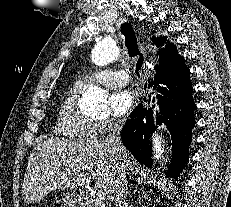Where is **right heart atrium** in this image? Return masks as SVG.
I'll list each match as a JSON object with an SVG mask.
<instances>
[{"instance_id": "1", "label": "right heart atrium", "mask_w": 231, "mask_h": 207, "mask_svg": "<svg viewBox=\"0 0 231 207\" xmlns=\"http://www.w3.org/2000/svg\"><path fill=\"white\" fill-rule=\"evenodd\" d=\"M119 126V122L111 118H104L96 122V134H102Z\"/></svg>"}]
</instances>
